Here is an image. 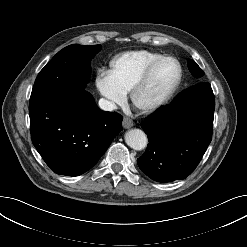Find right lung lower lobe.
<instances>
[{"mask_svg":"<svg viewBox=\"0 0 247 247\" xmlns=\"http://www.w3.org/2000/svg\"><path fill=\"white\" fill-rule=\"evenodd\" d=\"M32 142L55 173L78 176L92 168L121 131L122 116L101 111L85 91L49 88L30 98Z\"/></svg>","mask_w":247,"mask_h":247,"instance_id":"98d812e1","label":"right lung lower lobe"}]
</instances>
